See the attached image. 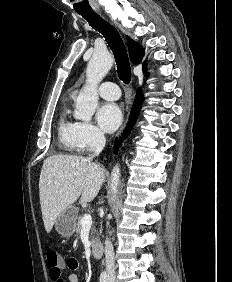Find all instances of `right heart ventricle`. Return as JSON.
I'll use <instances>...</instances> for the list:
<instances>
[{"label":"right heart ventricle","mask_w":232,"mask_h":282,"mask_svg":"<svg viewBox=\"0 0 232 282\" xmlns=\"http://www.w3.org/2000/svg\"><path fill=\"white\" fill-rule=\"evenodd\" d=\"M76 125L77 122L70 118L68 104H63L57 129L59 147L63 151L74 152L79 149L76 141Z\"/></svg>","instance_id":"obj_1"}]
</instances>
